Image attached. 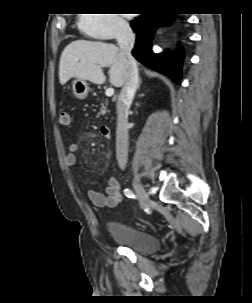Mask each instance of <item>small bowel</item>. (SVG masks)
Wrapping results in <instances>:
<instances>
[{
    "label": "small bowel",
    "instance_id": "1",
    "mask_svg": "<svg viewBox=\"0 0 252 303\" xmlns=\"http://www.w3.org/2000/svg\"><path fill=\"white\" fill-rule=\"evenodd\" d=\"M78 151V144L71 143L68 146V154L65 158V164L68 167H75L77 164L76 153ZM105 190L107 195L100 192L90 190L88 197L90 201L98 208H115L123 202L124 196L122 194V186L118 179L113 176L104 177Z\"/></svg>",
    "mask_w": 252,
    "mask_h": 303
}]
</instances>
